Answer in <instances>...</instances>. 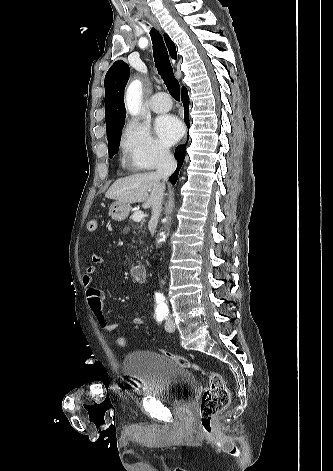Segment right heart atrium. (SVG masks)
<instances>
[{
	"label": "right heart atrium",
	"mask_w": 333,
	"mask_h": 471,
	"mask_svg": "<svg viewBox=\"0 0 333 471\" xmlns=\"http://www.w3.org/2000/svg\"><path fill=\"white\" fill-rule=\"evenodd\" d=\"M120 148L123 163L134 170H152L171 159L169 150L155 138L150 128L135 120L124 125Z\"/></svg>",
	"instance_id": "obj_1"
}]
</instances>
